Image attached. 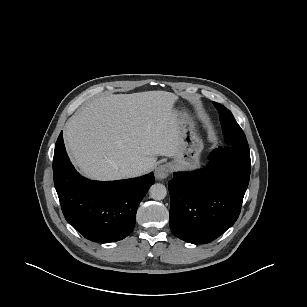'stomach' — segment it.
<instances>
[{
  "label": "stomach",
  "mask_w": 307,
  "mask_h": 307,
  "mask_svg": "<svg viewBox=\"0 0 307 307\" xmlns=\"http://www.w3.org/2000/svg\"><path fill=\"white\" fill-rule=\"evenodd\" d=\"M179 119L182 147L177 158L170 164L173 169H195L200 166L204 144L196 131L193 118L186 111L175 110Z\"/></svg>",
  "instance_id": "1"
}]
</instances>
